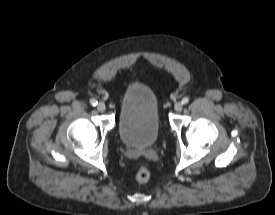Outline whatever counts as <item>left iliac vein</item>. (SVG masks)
Returning <instances> with one entry per match:
<instances>
[{
  "mask_svg": "<svg viewBox=\"0 0 275 215\" xmlns=\"http://www.w3.org/2000/svg\"><path fill=\"white\" fill-rule=\"evenodd\" d=\"M175 111L180 112L183 109V103L177 102L174 106Z\"/></svg>",
  "mask_w": 275,
  "mask_h": 215,
  "instance_id": "obj_1",
  "label": "left iliac vein"
}]
</instances>
